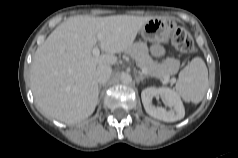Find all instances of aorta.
Segmentation results:
<instances>
[{
  "mask_svg": "<svg viewBox=\"0 0 238 158\" xmlns=\"http://www.w3.org/2000/svg\"><path fill=\"white\" fill-rule=\"evenodd\" d=\"M121 82H122L123 84H130V83L132 82V77H131V75L128 74V73H123V74L121 75Z\"/></svg>",
  "mask_w": 238,
  "mask_h": 158,
  "instance_id": "aorta-1",
  "label": "aorta"
}]
</instances>
